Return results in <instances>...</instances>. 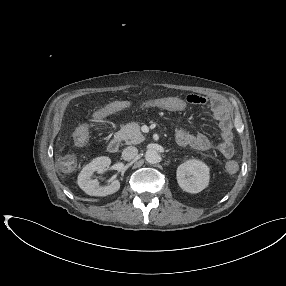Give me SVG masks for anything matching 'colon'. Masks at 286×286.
<instances>
[{
  "label": "colon",
  "instance_id": "colon-1",
  "mask_svg": "<svg viewBox=\"0 0 286 286\" xmlns=\"http://www.w3.org/2000/svg\"><path fill=\"white\" fill-rule=\"evenodd\" d=\"M88 137H89V128L87 125H83V126L79 127L78 130L76 131V133L74 135V142L77 145H84L88 141ZM63 161L69 167H72L76 162L75 157L73 155L65 156ZM226 168H227L228 172L232 173V172L236 171L237 165L234 162H229L227 164Z\"/></svg>",
  "mask_w": 286,
  "mask_h": 286
}]
</instances>
